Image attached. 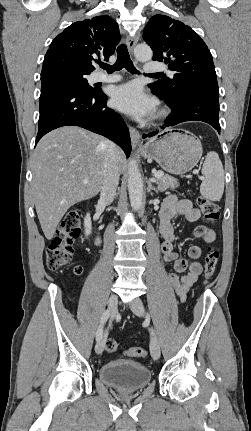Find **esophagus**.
Returning <instances> with one entry per match:
<instances>
[{"label":"esophagus","instance_id":"1","mask_svg":"<svg viewBox=\"0 0 251 431\" xmlns=\"http://www.w3.org/2000/svg\"><path fill=\"white\" fill-rule=\"evenodd\" d=\"M139 37H140L139 33H137L134 36L127 37L126 45L131 52L133 51L135 45L137 44ZM129 132H130L132 146L136 147L140 142V133L136 128L132 126H129Z\"/></svg>","mask_w":251,"mask_h":431}]
</instances>
